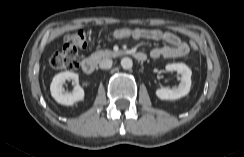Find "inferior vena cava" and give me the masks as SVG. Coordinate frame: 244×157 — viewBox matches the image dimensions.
<instances>
[{"mask_svg": "<svg viewBox=\"0 0 244 157\" xmlns=\"http://www.w3.org/2000/svg\"><path fill=\"white\" fill-rule=\"evenodd\" d=\"M112 64H113V61L111 59L105 58L99 62V67L101 69H109V68H111Z\"/></svg>", "mask_w": 244, "mask_h": 157, "instance_id": "602c4592", "label": "inferior vena cava"}]
</instances>
